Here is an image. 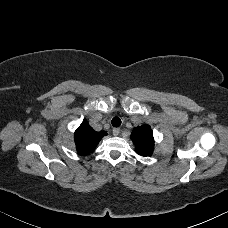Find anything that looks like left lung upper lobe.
Wrapping results in <instances>:
<instances>
[{
    "mask_svg": "<svg viewBox=\"0 0 228 228\" xmlns=\"http://www.w3.org/2000/svg\"><path fill=\"white\" fill-rule=\"evenodd\" d=\"M131 140L135 144V150L139 155H152L154 150V138L149 125L134 128L131 134Z\"/></svg>",
    "mask_w": 228,
    "mask_h": 228,
    "instance_id": "left-lung-upper-lobe-1",
    "label": "left lung upper lobe"
}]
</instances>
